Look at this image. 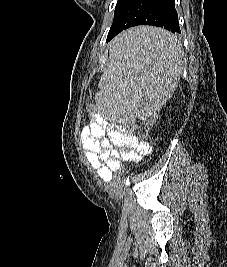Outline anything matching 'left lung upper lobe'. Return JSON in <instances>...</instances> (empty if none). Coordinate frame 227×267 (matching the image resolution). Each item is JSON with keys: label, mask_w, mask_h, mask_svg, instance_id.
Listing matches in <instances>:
<instances>
[{"label": "left lung upper lobe", "mask_w": 227, "mask_h": 267, "mask_svg": "<svg viewBox=\"0 0 227 267\" xmlns=\"http://www.w3.org/2000/svg\"><path fill=\"white\" fill-rule=\"evenodd\" d=\"M127 0H118L117 4H116V9L117 10L120 6H122Z\"/></svg>", "instance_id": "1"}]
</instances>
